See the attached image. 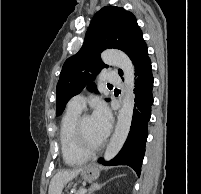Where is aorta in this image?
Masks as SVG:
<instances>
[{
  "instance_id": "762f6f07",
  "label": "aorta",
  "mask_w": 201,
  "mask_h": 194,
  "mask_svg": "<svg viewBox=\"0 0 201 194\" xmlns=\"http://www.w3.org/2000/svg\"><path fill=\"white\" fill-rule=\"evenodd\" d=\"M101 59L105 64L119 67L123 71L125 83L122 106L115 131L104 153V159L109 161L119 153L130 131L134 109L135 69L130 58L122 51L106 50L101 54Z\"/></svg>"
}]
</instances>
